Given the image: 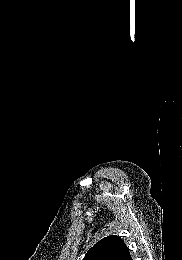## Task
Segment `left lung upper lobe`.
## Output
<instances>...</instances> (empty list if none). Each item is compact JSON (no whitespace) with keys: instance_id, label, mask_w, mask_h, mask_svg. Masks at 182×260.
Segmentation results:
<instances>
[{"instance_id":"5c2ea615","label":"left lung upper lobe","mask_w":182,"mask_h":260,"mask_svg":"<svg viewBox=\"0 0 182 260\" xmlns=\"http://www.w3.org/2000/svg\"><path fill=\"white\" fill-rule=\"evenodd\" d=\"M129 255L124 241L119 236L111 235L91 247L83 260H126Z\"/></svg>"}]
</instances>
